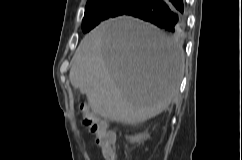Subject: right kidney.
Instances as JSON below:
<instances>
[{"mask_svg": "<svg viewBox=\"0 0 242 160\" xmlns=\"http://www.w3.org/2000/svg\"><path fill=\"white\" fill-rule=\"evenodd\" d=\"M146 137H147V135H145V134H139V135H136V136L129 137V139H130V141H131L132 143H134V142H141V141H143Z\"/></svg>", "mask_w": 242, "mask_h": 160, "instance_id": "right-kidney-1", "label": "right kidney"}]
</instances>
